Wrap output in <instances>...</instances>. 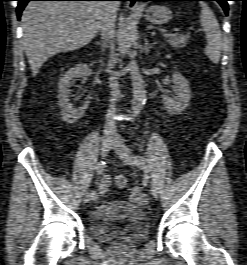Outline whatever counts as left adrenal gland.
<instances>
[{
    "mask_svg": "<svg viewBox=\"0 0 247 265\" xmlns=\"http://www.w3.org/2000/svg\"><path fill=\"white\" fill-rule=\"evenodd\" d=\"M144 41H145V43H144V52H145V54H148L150 49L153 48L155 43H149L147 38H145Z\"/></svg>",
    "mask_w": 247,
    "mask_h": 265,
    "instance_id": "a2214340",
    "label": "left adrenal gland"
}]
</instances>
